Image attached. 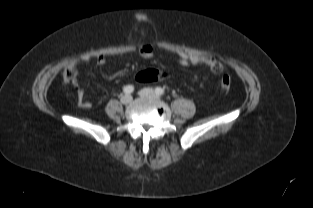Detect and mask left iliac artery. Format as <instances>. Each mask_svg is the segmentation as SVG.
Listing matches in <instances>:
<instances>
[{
  "label": "left iliac artery",
  "instance_id": "obj_1",
  "mask_svg": "<svg viewBox=\"0 0 313 208\" xmlns=\"http://www.w3.org/2000/svg\"><path fill=\"white\" fill-rule=\"evenodd\" d=\"M156 94L158 95H163L164 94V89H162L161 87H157L155 89Z\"/></svg>",
  "mask_w": 313,
  "mask_h": 208
}]
</instances>
